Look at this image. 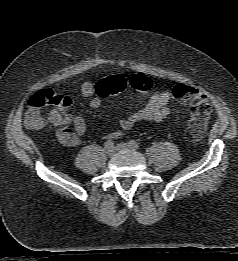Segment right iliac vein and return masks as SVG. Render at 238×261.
Segmentation results:
<instances>
[{"label": "right iliac vein", "instance_id": "right-iliac-vein-1", "mask_svg": "<svg viewBox=\"0 0 238 261\" xmlns=\"http://www.w3.org/2000/svg\"><path fill=\"white\" fill-rule=\"evenodd\" d=\"M115 152V148L114 147H109V148H106V154L108 156H112Z\"/></svg>", "mask_w": 238, "mask_h": 261}]
</instances>
